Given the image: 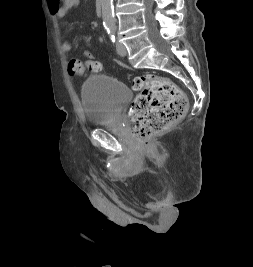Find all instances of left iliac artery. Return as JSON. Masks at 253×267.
<instances>
[{"mask_svg": "<svg viewBox=\"0 0 253 267\" xmlns=\"http://www.w3.org/2000/svg\"><path fill=\"white\" fill-rule=\"evenodd\" d=\"M107 31H108V34H109V36H110L111 41H112L113 43H115L116 39H115V35H114V31H113V29H107Z\"/></svg>", "mask_w": 253, "mask_h": 267, "instance_id": "1", "label": "left iliac artery"}]
</instances>
